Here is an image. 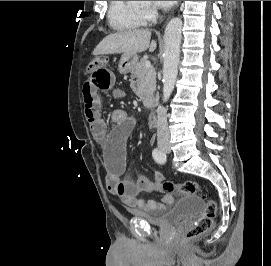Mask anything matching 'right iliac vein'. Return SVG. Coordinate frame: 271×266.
<instances>
[{
	"label": "right iliac vein",
	"instance_id": "63e3f726",
	"mask_svg": "<svg viewBox=\"0 0 271 266\" xmlns=\"http://www.w3.org/2000/svg\"><path fill=\"white\" fill-rule=\"evenodd\" d=\"M168 147H169L168 143H162V144H160V148L162 150H166Z\"/></svg>",
	"mask_w": 271,
	"mask_h": 266
}]
</instances>
